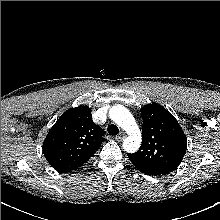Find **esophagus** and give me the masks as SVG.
I'll use <instances>...</instances> for the list:
<instances>
[{
	"instance_id": "34e87169",
	"label": "esophagus",
	"mask_w": 220,
	"mask_h": 220,
	"mask_svg": "<svg viewBox=\"0 0 220 220\" xmlns=\"http://www.w3.org/2000/svg\"><path fill=\"white\" fill-rule=\"evenodd\" d=\"M124 138H125V134H124V133H121V134H119V135H117V136L115 137V139H116L117 141H122Z\"/></svg>"
}]
</instances>
